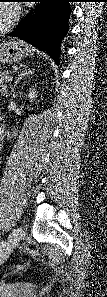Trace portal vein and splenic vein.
Here are the masks:
<instances>
[{
	"label": "portal vein and splenic vein",
	"mask_w": 107,
	"mask_h": 297,
	"mask_svg": "<svg viewBox=\"0 0 107 297\" xmlns=\"http://www.w3.org/2000/svg\"><path fill=\"white\" fill-rule=\"evenodd\" d=\"M12 79H13L12 76H8V77H7L8 82H9V81H12Z\"/></svg>",
	"instance_id": "portal-vein-and-splenic-vein-1"
}]
</instances>
